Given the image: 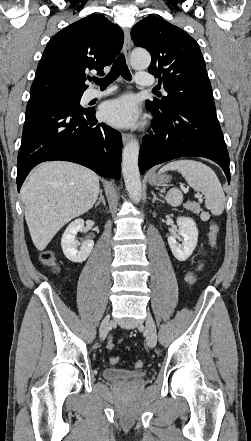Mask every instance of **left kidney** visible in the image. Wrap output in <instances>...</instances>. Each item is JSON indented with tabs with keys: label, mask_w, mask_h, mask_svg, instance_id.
Returning a JSON list of instances; mask_svg holds the SVG:
<instances>
[{
	"label": "left kidney",
	"mask_w": 251,
	"mask_h": 441,
	"mask_svg": "<svg viewBox=\"0 0 251 441\" xmlns=\"http://www.w3.org/2000/svg\"><path fill=\"white\" fill-rule=\"evenodd\" d=\"M176 222L179 227L178 234L170 235L168 244L174 257L179 261H185L197 246L198 229L195 221L190 217H178ZM180 237H182V244L177 242Z\"/></svg>",
	"instance_id": "left-kidney-1"
}]
</instances>
